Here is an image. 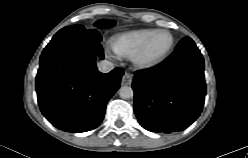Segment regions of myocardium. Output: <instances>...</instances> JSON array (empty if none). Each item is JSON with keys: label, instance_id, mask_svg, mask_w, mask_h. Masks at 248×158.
<instances>
[{"label": "myocardium", "instance_id": "1", "mask_svg": "<svg viewBox=\"0 0 248 158\" xmlns=\"http://www.w3.org/2000/svg\"><path fill=\"white\" fill-rule=\"evenodd\" d=\"M166 33L170 37V42L168 47L160 54L156 56L149 55V47L154 39V37L158 34ZM174 46V37L173 34L165 29L155 30L145 41L141 49L133 56V60L136 63L137 66L141 68H152L159 63H161L163 60L167 58V56L170 54L172 48Z\"/></svg>", "mask_w": 248, "mask_h": 158}]
</instances>
